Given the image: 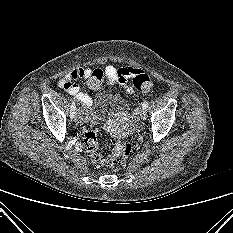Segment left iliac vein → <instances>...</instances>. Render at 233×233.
<instances>
[{
  "label": "left iliac vein",
  "mask_w": 233,
  "mask_h": 233,
  "mask_svg": "<svg viewBox=\"0 0 233 233\" xmlns=\"http://www.w3.org/2000/svg\"><path fill=\"white\" fill-rule=\"evenodd\" d=\"M139 114H140V118H141V119H143V120L146 119V110H145V109L142 108V109L140 110Z\"/></svg>",
  "instance_id": "left-iliac-vein-1"
}]
</instances>
